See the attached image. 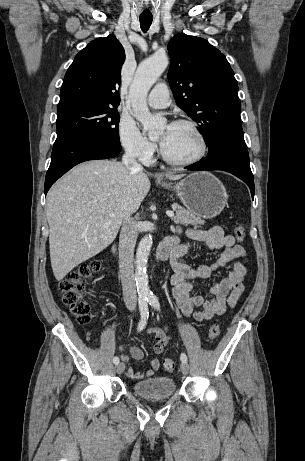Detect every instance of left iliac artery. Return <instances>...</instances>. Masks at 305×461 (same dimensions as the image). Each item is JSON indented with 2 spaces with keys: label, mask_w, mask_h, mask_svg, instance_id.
Masks as SVG:
<instances>
[{
  "label": "left iliac artery",
  "mask_w": 305,
  "mask_h": 461,
  "mask_svg": "<svg viewBox=\"0 0 305 461\" xmlns=\"http://www.w3.org/2000/svg\"><path fill=\"white\" fill-rule=\"evenodd\" d=\"M147 301L149 302V304L157 309V310H160V303L157 299V297L154 295V294H150V295H147ZM180 359L182 362H187V356L185 353H181V356H180Z\"/></svg>",
  "instance_id": "left-iliac-artery-1"
}]
</instances>
